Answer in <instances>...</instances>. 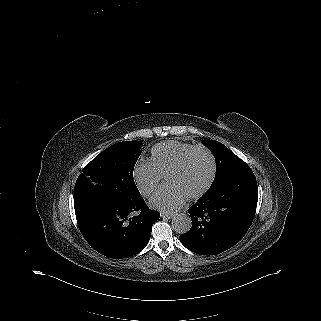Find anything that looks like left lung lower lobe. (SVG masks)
<instances>
[{
    "mask_svg": "<svg viewBox=\"0 0 321 321\" xmlns=\"http://www.w3.org/2000/svg\"><path fill=\"white\" fill-rule=\"evenodd\" d=\"M257 200V183L251 170L231 175L189 208L193 224L180 236L181 243L201 255L228 250L252 224Z\"/></svg>",
    "mask_w": 321,
    "mask_h": 321,
    "instance_id": "1",
    "label": "left lung lower lobe"
}]
</instances>
